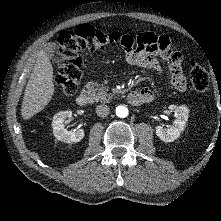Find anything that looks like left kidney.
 I'll return each mask as SVG.
<instances>
[{"label": "left kidney", "instance_id": "obj_1", "mask_svg": "<svg viewBox=\"0 0 221 221\" xmlns=\"http://www.w3.org/2000/svg\"><path fill=\"white\" fill-rule=\"evenodd\" d=\"M169 110L175 113L176 119L171 128L165 129L161 126L156 127V135L164 142H173L180 137L188 120L189 110L185 106L170 105Z\"/></svg>", "mask_w": 221, "mask_h": 221}]
</instances>
